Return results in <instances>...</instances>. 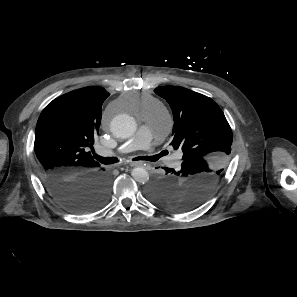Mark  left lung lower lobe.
Here are the masks:
<instances>
[{
	"label": "left lung lower lobe",
	"mask_w": 297,
	"mask_h": 297,
	"mask_svg": "<svg viewBox=\"0 0 297 297\" xmlns=\"http://www.w3.org/2000/svg\"><path fill=\"white\" fill-rule=\"evenodd\" d=\"M164 170L166 171V174H167V176H165V177H162V178H160L159 180H158V182L159 183H162V182H164V181H166V177H168L169 175H171V174H178L179 173V171H176V170H174V169H170V168H164ZM169 174V175H168ZM180 174V173H179Z\"/></svg>",
	"instance_id": "0a47b994"
}]
</instances>
